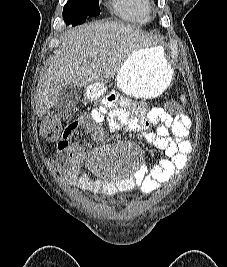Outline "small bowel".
I'll list each match as a JSON object with an SVG mask.
<instances>
[{"label": "small bowel", "instance_id": "small-bowel-1", "mask_svg": "<svg viewBox=\"0 0 227 267\" xmlns=\"http://www.w3.org/2000/svg\"><path fill=\"white\" fill-rule=\"evenodd\" d=\"M120 123L143 134L152 146L165 152L166 158L151 170L140 164L132 175L113 182L91 178L82 170L86 152L79 142L71 141L73 135L80 128H85L90 139L99 140L106 125L116 128ZM192 149L193 143L188 138V127L183 116H173L163 108L144 104L117 108L116 95H109L90 114L81 116L65 128L53 164L70 185L96 195L112 197L133 189L145 192L157 190L161 184L180 173Z\"/></svg>", "mask_w": 227, "mask_h": 267}]
</instances>
